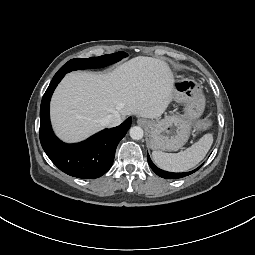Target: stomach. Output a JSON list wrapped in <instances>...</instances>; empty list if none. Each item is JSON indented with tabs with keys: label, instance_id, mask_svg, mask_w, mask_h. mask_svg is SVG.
Masks as SVG:
<instances>
[{
	"label": "stomach",
	"instance_id": "0dacf381",
	"mask_svg": "<svg viewBox=\"0 0 255 255\" xmlns=\"http://www.w3.org/2000/svg\"><path fill=\"white\" fill-rule=\"evenodd\" d=\"M173 100L185 105L183 115L165 116L161 120H144L149 134V146L153 150L177 151L186 144L192 123L198 119L205 107V98L200 86L191 79L176 81Z\"/></svg>",
	"mask_w": 255,
	"mask_h": 255
}]
</instances>
